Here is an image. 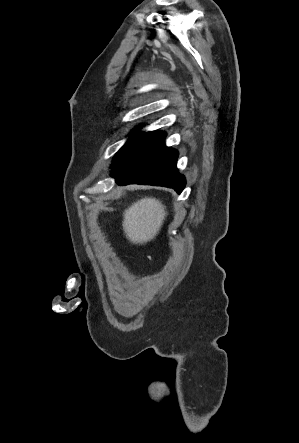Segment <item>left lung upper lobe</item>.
I'll return each mask as SVG.
<instances>
[{"label": "left lung upper lobe", "instance_id": "left-lung-upper-lobe-1", "mask_svg": "<svg viewBox=\"0 0 299 443\" xmlns=\"http://www.w3.org/2000/svg\"><path fill=\"white\" fill-rule=\"evenodd\" d=\"M144 133H139L132 136L126 144L117 152L113 159V163L111 167L115 165V163L124 155V153L143 135Z\"/></svg>", "mask_w": 299, "mask_h": 443}]
</instances>
